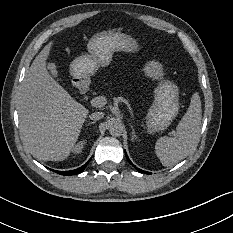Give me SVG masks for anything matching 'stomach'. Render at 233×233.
<instances>
[{
	"mask_svg": "<svg viewBox=\"0 0 233 233\" xmlns=\"http://www.w3.org/2000/svg\"><path fill=\"white\" fill-rule=\"evenodd\" d=\"M140 50L137 39L119 30H107L94 34L87 43V53L76 57L70 64V74L76 86L96 74L100 67H107L115 52L136 53ZM144 75L159 80L154 89V100L146 115L147 132L150 134L165 130L178 114V87L170 81L162 80V64L148 61Z\"/></svg>",
	"mask_w": 233,
	"mask_h": 233,
	"instance_id": "obj_1",
	"label": "stomach"
}]
</instances>
